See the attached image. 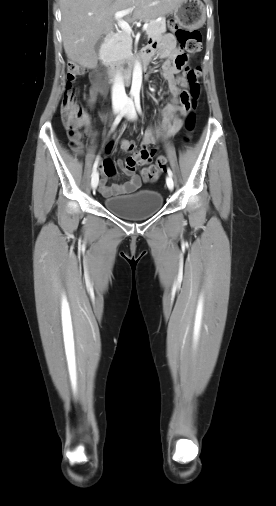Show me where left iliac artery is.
<instances>
[{
    "mask_svg": "<svg viewBox=\"0 0 276 506\" xmlns=\"http://www.w3.org/2000/svg\"><path fill=\"white\" fill-rule=\"evenodd\" d=\"M134 102H135V106H136L138 113L140 115H142V110H141V105H140V95L138 93L134 95ZM167 172H168L169 176H171V177L173 176V173L170 168H167Z\"/></svg>",
    "mask_w": 276,
    "mask_h": 506,
    "instance_id": "44dca946",
    "label": "left iliac artery"
}]
</instances>
